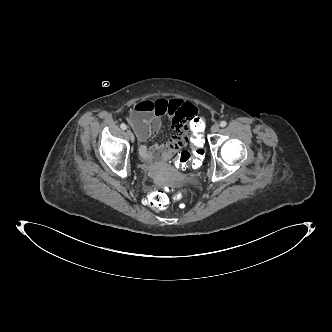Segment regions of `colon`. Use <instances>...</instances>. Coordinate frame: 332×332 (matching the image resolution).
<instances>
[{
  "label": "colon",
  "mask_w": 332,
  "mask_h": 332,
  "mask_svg": "<svg viewBox=\"0 0 332 332\" xmlns=\"http://www.w3.org/2000/svg\"><path fill=\"white\" fill-rule=\"evenodd\" d=\"M191 138L188 143H190V148L185 149L179 154L173 157V164L176 168L186 169H198L203 159L208 156V149L205 146V140L203 138V123L200 118L193 117L189 121ZM172 188L169 187L168 190ZM181 195L179 193L175 194L174 199L179 200ZM148 203L151 207L156 210H165L168 207L169 199L167 195L162 191H155L148 197Z\"/></svg>",
  "instance_id": "1"
}]
</instances>
